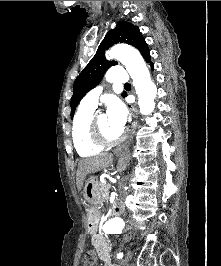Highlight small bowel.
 <instances>
[{
    "label": "small bowel",
    "mask_w": 221,
    "mask_h": 266,
    "mask_svg": "<svg viewBox=\"0 0 221 266\" xmlns=\"http://www.w3.org/2000/svg\"><path fill=\"white\" fill-rule=\"evenodd\" d=\"M91 243L104 266H115L111 260L112 257L111 245L106 240V236L104 234L93 233L91 237Z\"/></svg>",
    "instance_id": "small-bowel-1"
}]
</instances>
